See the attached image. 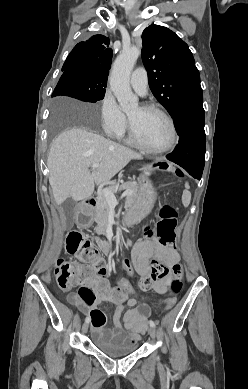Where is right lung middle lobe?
Listing matches in <instances>:
<instances>
[{"mask_svg":"<svg viewBox=\"0 0 248 389\" xmlns=\"http://www.w3.org/2000/svg\"><path fill=\"white\" fill-rule=\"evenodd\" d=\"M106 85V81L92 79L84 71H64L52 96L65 95L84 102L95 103L104 98Z\"/></svg>","mask_w":248,"mask_h":389,"instance_id":"dd1d6c3e","label":"right lung middle lobe"}]
</instances>
